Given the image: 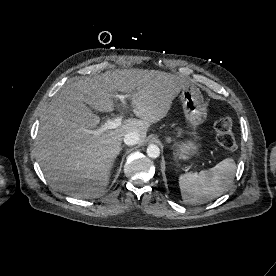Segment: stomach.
Segmentation results:
<instances>
[{"instance_id":"stomach-1","label":"stomach","mask_w":276,"mask_h":276,"mask_svg":"<svg viewBox=\"0 0 276 276\" xmlns=\"http://www.w3.org/2000/svg\"><path fill=\"white\" fill-rule=\"evenodd\" d=\"M186 120L194 130L207 119V105L204 98L196 86H186L180 95ZM193 138L174 144V155L180 160H190L200 152V144L196 132Z\"/></svg>"}]
</instances>
